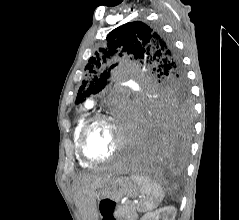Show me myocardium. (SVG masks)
Returning a JSON list of instances; mask_svg holds the SVG:
<instances>
[{"instance_id": "obj_1", "label": "myocardium", "mask_w": 239, "mask_h": 220, "mask_svg": "<svg viewBox=\"0 0 239 220\" xmlns=\"http://www.w3.org/2000/svg\"><path fill=\"white\" fill-rule=\"evenodd\" d=\"M98 123H109L111 124L118 134V141L115 150L107 157L96 159L88 155L86 151V138L90 132V130ZM124 138L120 131V128L116 125L115 119L112 116L104 115V114H96L92 116L89 120L84 124L78 140V149L81 157L90 164H102L113 160L120 150L123 148Z\"/></svg>"}]
</instances>
